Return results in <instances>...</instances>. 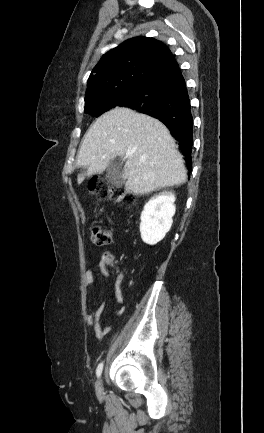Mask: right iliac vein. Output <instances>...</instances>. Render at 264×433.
I'll return each mask as SVG.
<instances>
[{
  "instance_id": "1",
  "label": "right iliac vein",
  "mask_w": 264,
  "mask_h": 433,
  "mask_svg": "<svg viewBox=\"0 0 264 433\" xmlns=\"http://www.w3.org/2000/svg\"><path fill=\"white\" fill-rule=\"evenodd\" d=\"M95 390H96V394L99 397L103 395L104 388H103V382L101 378L97 380L95 384Z\"/></svg>"
}]
</instances>
